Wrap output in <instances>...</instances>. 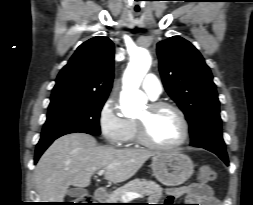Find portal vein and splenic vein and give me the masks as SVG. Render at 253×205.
Returning <instances> with one entry per match:
<instances>
[{
    "label": "portal vein and splenic vein",
    "instance_id": "portal-vein-and-splenic-vein-1",
    "mask_svg": "<svg viewBox=\"0 0 253 205\" xmlns=\"http://www.w3.org/2000/svg\"><path fill=\"white\" fill-rule=\"evenodd\" d=\"M104 172H105V169H102V170H100V171L98 172V175L101 176V175L104 174ZM141 196H142V195L139 194V193H135V192H125V193L122 195V199H123L124 201H131V200H133V199H135V198H139V197H141Z\"/></svg>",
    "mask_w": 253,
    "mask_h": 205
}]
</instances>
